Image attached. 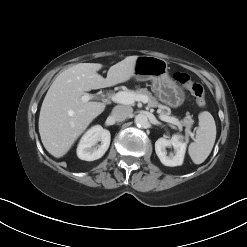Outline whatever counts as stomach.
Wrapping results in <instances>:
<instances>
[{
    "label": "stomach",
    "mask_w": 247,
    "mask_h": 247,
    "mask_svg": "<svg viewBox=\"0 0 247 247\" xmlns=\"http://www.w3.org/2000/svg\"><path fill=\"white\" fill-rule=\"evenodd\" d=\"M168 62L160 57L138 56L134 78L137 81L152 82L151 90L162 103L171 108L181 106L185 101L183 89L169 76Z\"/></svg>",
    "instance_id": "obj_1"
}]
</instances>
